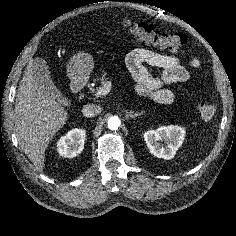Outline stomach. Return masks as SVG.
<instances>
[{
    "label": "stomach",
    "instance_id": "stomach-1",
    "mask_svg": "<svg viewBox=\"0 0 236 236\" xmlns=\"http://www.w3.org/2000/svg\"><path fill=\"white\" fill-rule=\"evenodd\" d=\"M93 59L87 53L74 55L67 65V74L72 80H83L87 78L93 70Z\"/></svg>",
    "mask_w": 236,
    "mask_h": 236
}]
</instances>
